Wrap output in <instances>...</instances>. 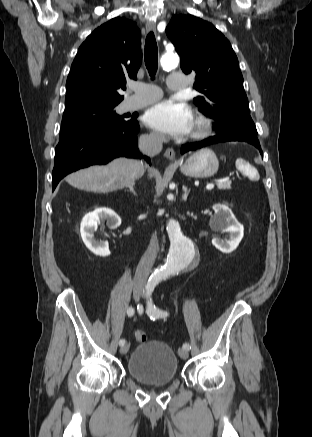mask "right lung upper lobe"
Listing matches in <instances>:
<instances>
[{"label": "right lung upper lobe", "instance_id": "right-lung-upper-lobe-1", "mask_svg": "<svg viewBox=\"0 0 312 437\" xmlns=\"http://www.w3.org/2000/svg\"><path fill=\"white\" fill-rule=\"evenodd\" d=\"M140 31L124 18L101 25L79 47L67 78L66 108L85 104H118L117 89L136 79L141 65Z\"/></svg>", "mask_w": 312, "mask_h": 437}]
</instances>
